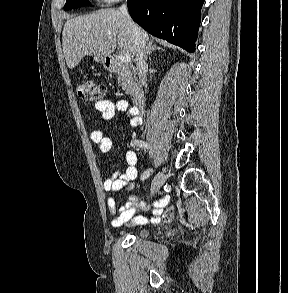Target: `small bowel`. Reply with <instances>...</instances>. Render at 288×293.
I'll list each match as a JSON object with an SVG mask.
<instances>
[{"label":"small bowel","mask_w":288,"mask_h":293,"mask_svg":"<svg viewBox=\"0 0 288 293\" xmlns=\"http://www.w3.org/2000/svg\"><path fill=\"white\" fill-rule=\"evenodd\" d=\"M95 109L101 113L102 122H107L117 114L126 112L130 117V125L132 127H136L141 123L140 112L134 107H129L127 101L124 99L101 100L95 104ZM90 139L97 145L98 151L101 154H106L112 149V139L106 136L100 129L92 131ZM125 161L127 167L124 171H115L112 178L104 181L103 188L106 193L110 194L119 190H127L132 187V182L136 179L138 174L136 167V152L133 150L127 151ZM167 201L168 199L164 198L156 203L153 209V217L151 218L152 223H158L160 221L159 215L162 213V209L167 204ZM106 202L111 214L114 215L118 213V216L112 221L114 227H119L131 220L136 214L138 205L142 204L141 199L137 195H131L126 204L120 208H117L115 199L112 195L107 196ZM133 221L136 224H145L147 219L142 216H137L134 217Z\"/></svg>","instance_id":"obj_1"}]
</instances>
